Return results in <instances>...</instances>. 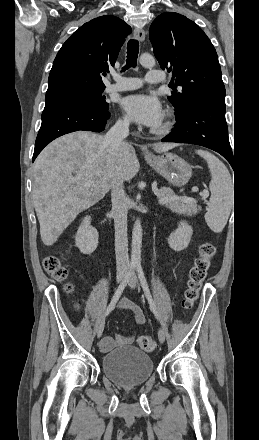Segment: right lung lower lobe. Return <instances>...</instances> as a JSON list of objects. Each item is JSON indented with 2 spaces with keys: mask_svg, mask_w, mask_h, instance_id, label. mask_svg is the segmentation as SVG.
<instances>
[{
  "mask_svg": "<svg viewBox=\"0 0 259 440\" xmlns=\"http://www.w3.org/2000/svg\"><path fill=\"white\" fill-rule=\"evenodd\" d=\"M109 117L108 110L83 102L45 105L32 162L47 144L59 136L78 130L103 131Z\"/></svg>",
  "mask_w": 259,
  "mask_h": 440,
  "instance_id": "98d812e1",
  "label": "right lung lower lobe"
}]
</instances>
